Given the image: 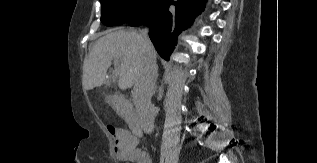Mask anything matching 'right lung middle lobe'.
Instances as JSON below:
<instances>
[{
  "label": "right lung middle lobe",
  "instance_id": "right-lung-middle-lobe-1",
  "mask_svg": "<svg viewBox=\"0 0 317 163\" xmlns=\"http://www.w3.org/2000/svg\"><path fill=\"white\" fill-rule=\"evenodd\" d=\"M161 0H100L106 26L132 23L149 15Z\"/></svg>",
  "mask_w": 317,
  "mask_h": 163
}]
</instances>
